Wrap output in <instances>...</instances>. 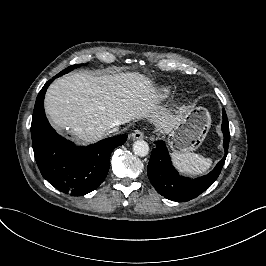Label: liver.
<instances>
[{"mask_svg": "<svg viewBox=\"0 0 266 266\" xmlns=\"http://www.w3.org/2000/svg\"><path fill=\"white\" fill-rule=\"evenodd\" d=\"M153 89L137 74L95 76L76 73L56 80L45 97L51 121L72 131L77 139L93 142L119 124L151 113ZM183 119L160 120L170 133Z\"/></svg>", "mask_w": 266, "mask_h": 266, "instance_id": "1", "label": "liver"}]
</instances>
